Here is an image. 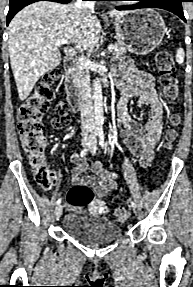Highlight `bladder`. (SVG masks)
<instances>
[{"mask_svg":"<svg viewBox=\"0 0 193 287\" xmlns=\"http://www.w3.org/2000/svg\"><path fill=\"white\" fill-rule=\"evenodd\" d=\"M63 231L88 245H103L122 235L121 227L108 219L85 209L68 213L63 220Z\"/></svg>","mask_w":193,"mask_h":287,"instance_id":"31cf9c89","label":"bladder"}]
</instances>
